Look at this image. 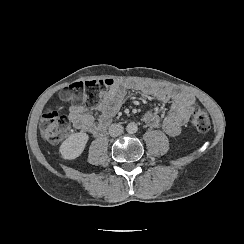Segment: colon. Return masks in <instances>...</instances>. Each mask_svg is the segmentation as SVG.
<instances>
[{"label":"colon","mask_w":244,"mask_h":244,"mask_svg":"<svg viewBox=\"0 0 244 244\" xmlns=\"http://www.w3.org/2000/svg\"><path fill=\"white\" fill-rule=\"evenodd\" d=\"M112 84V79L93 81L86 87L84 82H76L67 87H62L58 94L65 101L71 97L75 101H82L85 98L87 104L93 105L100 100V95L104 89ZM61 108L59 104L51 106L44 112L40 120V133L50 143L61 141L70 127L69 121L61 114ZM192 124L198 132H206L210 129L209 115L200 105L193 108Z\"/></svg>","instance_id":"5ec220e1"}]
</instances>
